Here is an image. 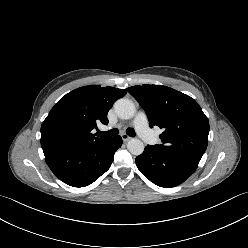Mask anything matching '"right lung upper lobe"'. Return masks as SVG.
I'll return each mask as SVG.
<instances>
[{
    "mask_svg": "<svg viewBox=\"0 0 248 248\" xmlns=\"http://www.w3.org/2000/svg\"><path fill=\"white\" fill-rule=\"evenodd\" d=\"M126 93V89L89 85L63 96L42 123L43 151L82 148L110 139L111 137H100L91 131L97 128V123H108V111Z\"/></svg>",
    "mask_w": 248,
    "mask_h": 248,
    "instance_id": "obj_1",
    "label": "right lung upper lobe"
}]
</instances>
